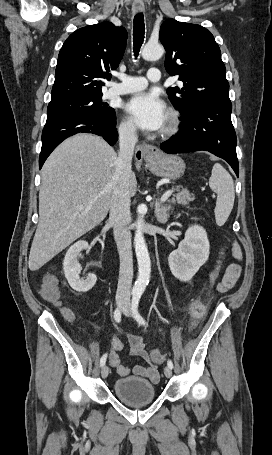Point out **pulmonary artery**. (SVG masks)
Instances as JSON below:
<instances>
[{
    "instance_id": "1",
    "label": "pulmonary artery",
    "mask_w": 272,
    "mask_h": 455,
    "mask_svg": "<svg viewBox=\"0 0 272 455\" xmlns=\"http://www.w3.org/2000/svg\"><path fill=\"white\" fill-rule=\"evenodd\" d=\"M119 79V83H115L109 88L107 96L111 97L143 90L147 86L148 81L158 82L161 79V72L157 68H150L147 78L122 75Z\"/></svg>"
}]
</instances>
